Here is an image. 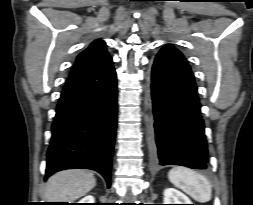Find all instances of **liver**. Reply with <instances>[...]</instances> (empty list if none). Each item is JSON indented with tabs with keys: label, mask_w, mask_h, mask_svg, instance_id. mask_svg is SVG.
<instances>
[{
	"label": "liver",
	"mask_w": 253,
	"mask_h": 205,
	"mask_svg": "<svg viewBox=\"0 0 253 205\" xmlns=\"http://www.w3.org/2000/svg\"><path fill=\"white\" fill-rule=\"evenodd\" d=\"M96 185L89 170H65L51 176L45 186L44 197L48 202L75 201L87 194Z\"/></svg>",
	"instance_id": "1"
}]
</instances>
